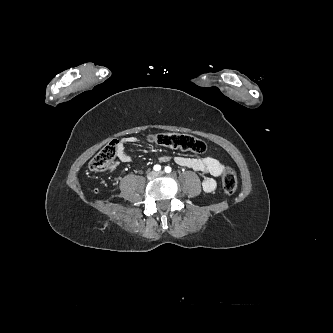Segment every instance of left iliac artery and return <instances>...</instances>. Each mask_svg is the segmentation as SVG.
I'll return each mask as SVG.
<instances>
[{"label": "left iliac artery", "mask_w": 333, "mask_h": 333, "mask_svg": "<svg viewBox=\"0 0 333 333\" xmlns=\"http://www.w3.org/2000/svg\"><path fill=\"white\" fill-rule=\"evenodd\" d=\"M164 170L166 173H170L172 169L170 166H166Z\"/></svg>", "instance_id": "1"}]
</instances>
